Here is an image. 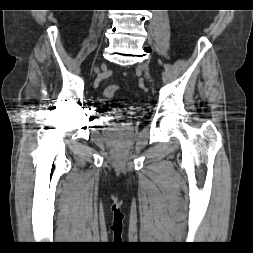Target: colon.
Instances as JSON below:
<instances>
[{"mask_svg":"<svg viewBox=\"0 0 253 253\" xmlns=\"http://www.w3.org/2000/svg\"><path fill=\"white\" fill-rule=\"evenodd\" d=\"M119 90V86L116 84H112L106 87L104 93L106 97H113Z\"/></svg>","mask_w":253,"mask_h":253,"instance_id":"5ec220e1","label":"colon"}]
</instances>
